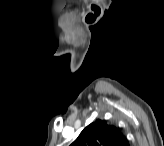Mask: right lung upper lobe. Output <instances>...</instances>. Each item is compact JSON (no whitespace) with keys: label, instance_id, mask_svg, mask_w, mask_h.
I'll list each match as a JSON object with an SVG mask.
<instances>
[{"label":"right lung upper lobe","instance_id":"right-lung-upper-lobe-1","mask_svg":"<svg viewBox=\"0 0 164 146\" xmlns=\"http://www.w3.org/2000/svg\"><path fill=\"white\" fill-rule=\"evenodd\" d=\"M71 146H128V141L115 126L97 120L85 127Z\"/></svg>","mask_w":164,"mask_h":146}]
</instances>
